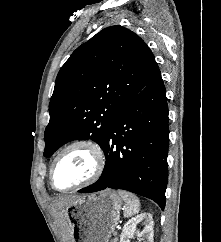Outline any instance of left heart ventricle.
Masks as SVG:
<instances>
[{
	"mask_svg": "<svg viewBox=\"0 0 221 242\" xmlns=\"http://www.w3.org/2000/svg\"><path fill=\"white\" fill-rule=\"evenodd\" d=\"M94 159L88 149L74 147L66 151L58 160L54 172V184L58 188H68L87 179L93 172Z\"/></svg>",
	"mask_w": 221,
	"mask_h": 242,
	"instance_id": "1",
	"label": "left heart ventricle"
}]
</instances>
